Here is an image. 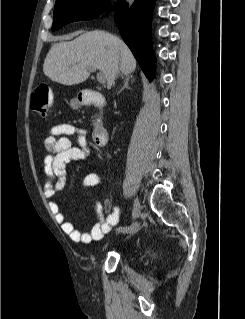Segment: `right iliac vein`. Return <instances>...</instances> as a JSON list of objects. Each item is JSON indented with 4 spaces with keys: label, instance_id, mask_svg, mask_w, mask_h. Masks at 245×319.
<instances>
[{
    "label": "right iliac vein",
    "instance_id": "obj_1",
    "mask_svg": "<svg viewBox=\"0 0 245 319\" xmlns=\"http://www.w3.org/2000/svg\"><path fill=\"white\" fill-rule=\"evenodd\" d=\"M140 213H141V204H140V201L138 198L135 199V202H134V206H133V213H132V217L134 219L138 218L140 216ZM132 227H134V230L132 233L136 232L139 228V224L138 223H135L132 225Z\"/></svg>",
    "mask_w": 245,
    "mask_h": 319
}]
</instances>
